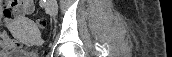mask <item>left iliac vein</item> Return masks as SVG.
I'll list each match as a JSON object with an SVG mask.
<instances>
[{"instance_id":"obj_1","label":"left iliac vein","mask_w":172,"mask_h":57,"mask_svg":"<svg viewBox=\"0 0 172 57\" xmlns=\"http://www.w3.org/2000/svg\"><path fill=\"white\" fill-rule=\"evenodd\" d=\"M47 10L49 14L53 17L57 15L58 12V5L56 0H47Z\"/></svg>"}]
</instances>
